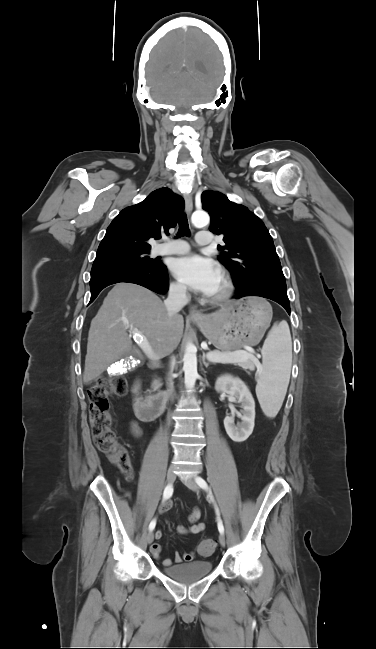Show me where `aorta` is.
I'll list each match as a JSON object with an SVG mask.
<instances>
[{
    "mask_svg": "<svg viewBox=\"0 0 376 649\" xmlns=\"http://www.w3.org/2000/svg\"><path fill=\"white\" fill-rule=\"evenodd\" d=\"M192 224L201 228L206 226L209 221V215L206 212L198 211L194 212L191 217ZM183 370L185 373L184 381L187 388L191 389L194 387L196 379L198 377L197 371V349L192 343H188L185 348V353L183 357Z\"/></svg>",
    "mask_w": 376,
    "mask_h": 649,
    "instance_id": "aorta-1",
    "label": "aorta"
}]
</instances>
